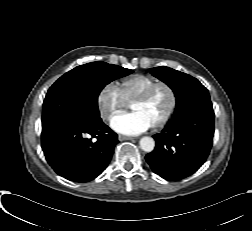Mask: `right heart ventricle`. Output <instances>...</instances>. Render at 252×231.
I'll return each instance as SVG.
<instances>
[{
	"label": "right heart ventricle",
	"mask_w": 252,
	"mask_h": 231,
	"mask_svg": "<svg viewBox=\"0 0 252 231\" xmlns=\"http://www.w3.org/2000/svg\"><path fill=\"white\" fill-rule=\"evenodd\" d=\"M156 82L151 76L136 74L123 79L118 88L125 102H130Z\"/></svg>",
	"instance_id": "right-heart-ventricle-1"
}]
</instances>
